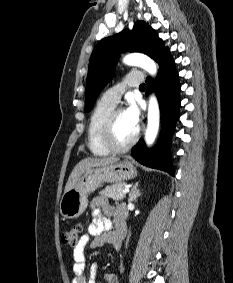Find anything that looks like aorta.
Masks as SVG:
<instances>
[{"label": "aorta", "mask_w": 233, "mask_h": 283, "mask_svg": "<svg viewBox=\"0 0 233 283\" xmlns=\"http://www.w3.org/2000/svg\"><path fill=\"white\" fill-rule=\"evenodd\" d=\"M123 63L130 66H139L146 70L150 75L156 76V63L148 56L140 53L128 54L123 58ZM160 123V110L157 98L154 95L150 96L148 104V121L145 132V142L151 146L158 134Z\"/></svg>", "instance_id": "obj_1"}]
</instances>
